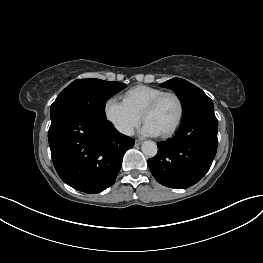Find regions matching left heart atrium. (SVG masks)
<instances>
[{
  "mask_svg": "<svg viewBox=\"0 0 263 263\" xmlns=\"http://www.w3.org/2000/svg\"><path fill=\"white\" fill-rule=\"evenodd\" d=\"M141 133L146 136H157L160 135L159 131L149 122H145L142 129Z\"/></svg>",
  "mask_w": 263,
  "mask_h": 263,
  "instance_id": "39dd6f15",
  "label": "left heart atrium"
}]
</instances>
